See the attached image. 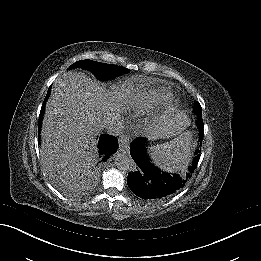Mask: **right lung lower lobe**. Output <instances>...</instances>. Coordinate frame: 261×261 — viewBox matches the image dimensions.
Here are the masks:
<instances>
[{"label":"right lung lower lobe","mask_w":261,"mask_h":261,"mask_svg":"<svg viewBox=\"0 0 261 261\" xmlns=\"http://www.w3.org/2000/svg\"><path fill=\"white\" fill-rule=\"evenodd\" d=\"M51 91V86L48 89L45 101L42 105L41 111H40V115H39V131H40V127H41V122H42V117L45 111V102L47 100V98L49 97ZM118 149V140L116 137L108 135V134H102L99 137V142H98V147H97V154L100 158V162H104L106 161L111 154L115 153Z\"/></svg>","instance_id":"right-lung-lower-lobe-1"}]
</instances>
